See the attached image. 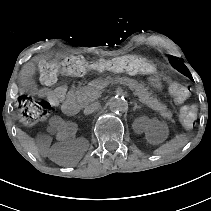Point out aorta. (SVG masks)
I'll use <instances>...</instances> for the list:
<instances>
[{
    "mask_svg": "<svg viewBox=\"0 0 211 211\" xmlns=\"http://www.w3.org/2000/svg\"><path fill=\"white\" fill-rule=\"evenodd\" d=\"M109 108L116 113H124L128 110V103L121 97H112L109 100Z\"/></svg>",
    "mask_w": 211,
    "mask_h": 211,
    "instance_id": "762f6f07",
    "label": "aorta"
}]
</instances>
